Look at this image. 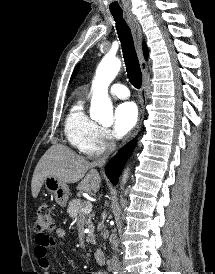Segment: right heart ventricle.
Segmentation results:
<instances>
[{
    "mask_svg": "<svg viewBox=\"0 0 215 274\" xmlns=\"http://www.w3.org/2000/svg\"><path fill=\"white\" fill-rule=\"evenodd\" d=\"M98 125L86 114L84 101L79 99L71 106L64 123V133L69 144L84 152Z\"/></svg>",
    "mask_w": 215,
    "mask_h": 274,
    "instance_id": "1",
    "label": "right heart ventricle"
}]
</instances>
